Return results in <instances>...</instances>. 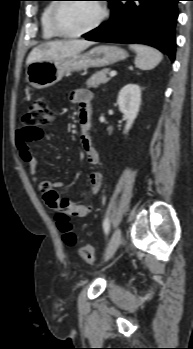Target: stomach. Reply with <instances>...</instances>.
<instances>
[{
  "instance_id": "obj_1",
  "label": "stomach",
  "mask_w": 193,
  "mask_h": 349,
  "mask_svg": "<svg viewBox=\"0 0 193 349\" xmlns=\"http://www.w3.org/2000/svg\"><path fill=\"white\" fill-rule=\"evenodd\" d=\"M127 56V52L118 46L100 45L65 59L33 62L28 65L26 79L34 88L43 89L59 82L68 73L112 65Z\"/></svg>"
}]
</instances>
